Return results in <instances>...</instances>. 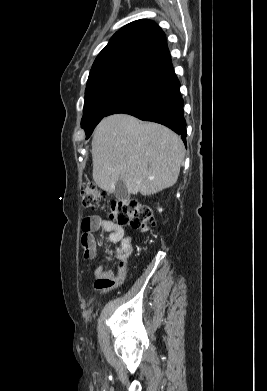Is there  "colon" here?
<instances>
[{
	"mask_svg": "<svg viewBox=\"0 0 267 391\" xmlns=\"http://www.w3.org/2000/svg\"><path fill=\"white\" fill-rule=\"evenodd\" d=\"M81 204L85 210L106 208L118 225H129L140 231H148L154 224L150 208L137 199H115L106 202L105 193L94 184H87L81 191Z\"/></svg>",
	"mask_w": 267,
	"mask_h": 391,
	"instance_id": "colon-1",
	"label": "colon"
}]
</instances>
